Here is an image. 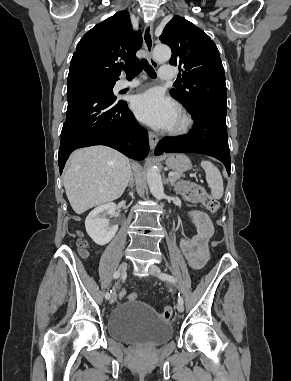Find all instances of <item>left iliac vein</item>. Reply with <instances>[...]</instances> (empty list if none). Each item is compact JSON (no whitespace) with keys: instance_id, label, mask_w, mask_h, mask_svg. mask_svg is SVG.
Wrapping results in <instances>:
<instances>
[{"instance_id":"1","label":"left iliac vein","mask_w":291,"mask_h":381,"mask_svg":"<svg viewBox=\"0 0 291 381\" xmlns=\"http://www.w3.org/2000/svg\"><path fill=\"white\" fill-rule=\"evenodd\" d=\"M149 270H150L151 274L154 275V276H159L160 273H161L160 268L158 266H156V265H151ZM176 307H177V310L179 312H183L184 311V306H183L182 302L178 301Z\"/></svg>"}]
</instances>
